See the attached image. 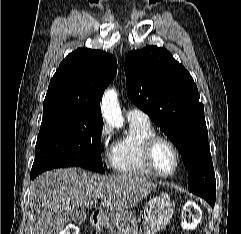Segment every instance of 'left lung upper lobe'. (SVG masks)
<instances>
[{
	"instance_id": "1",
	"label": "left lung upper lobe",
	"mask_w": 241,
	"mask_h": 234,
	"mask_svg": "<svg viewBox=\"0 0 241 234\" xmlns=\"http://www.w3.org/2000/svg\"><path fill=\"white\" fill-rule=\"evenodd\" d=\"M127 95L169 137L188 170L190 192L215 203L216 180L197 86L169 51L147 46L125 59Z\"/></svg>"
}]
</instances>
